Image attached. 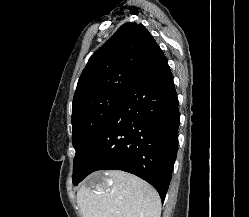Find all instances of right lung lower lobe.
I'll return each mask as SVG.
<instances>
[{
    "label": "right lung lower lobe",
    "instance_id": "obj_1",
    "mask_svg": "<svg viewBox=\"0 0 249 217\" xmlns=\"http://www.w3.org/2000/svg\"><path fill=\"white\" fill-rule=\"evenodd\" d=\"M179 110L164 56L130 89L79 165L78 185L96 170H122L149 182L165 199L178 150Z\"/></svg>",
    "mask_w": 249,
    "mask_h": 217
}]
</instances>
